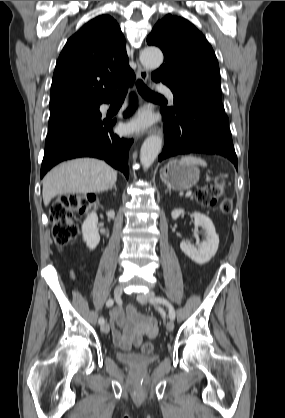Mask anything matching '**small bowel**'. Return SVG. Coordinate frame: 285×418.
Returning a JSON list of instances; mask_svg holds the SVG:
<instances>
[{
    "instance_id": "1",
    "label": "small bowel",
    "mask_w": 285,
    "mask_h": 418,
    "mask_svg": "<svg viewBox=\"0 0 285 418\" xmlns=\"http://www.w3.org/2000/svg\"><path fill=\"white\" fill-rule=\"evenodd\" d=\"M70 276L76 278L74 272ZM117 323L123 328L124 334L116 326L112 327L111 333L114 344L122 350L138 348L143 337L154 338L158 334L156 320L151 316L141 315L132 305L127 306L125 315L118 314Z\"/></svg>"
}]
</instances>
